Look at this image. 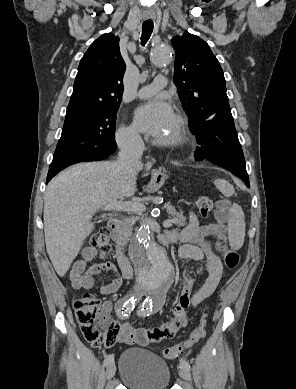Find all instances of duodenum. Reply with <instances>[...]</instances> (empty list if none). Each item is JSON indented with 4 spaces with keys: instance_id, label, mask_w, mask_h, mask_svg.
Segmentation results:
<instances>
[{
    "instance_id": "1",
    "label": "duodenum",
    "mask_w": 296,
    "mask_h": 389,
    "mask_svg": "<svg viewBox=\"0 0 296 389\" xmlns=\"http://www.w3.org/2000/svg\"><path fill=\"white\" fill-rule=\"evenodd\" d=\"M108 227L112 233L113 239L116 243V255L121 268V271L125 278H131L133 276V268L127 257L123 254L121 250V236L119 233L120 221L116 217H112L108 221ZM161 242L164 245H168L173 242L169 236H163Z\"/></svg>"
}]
</instances>
